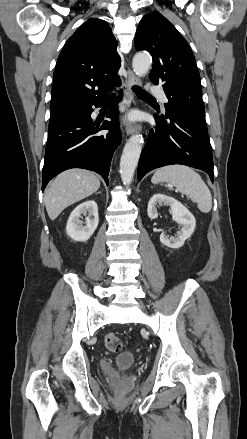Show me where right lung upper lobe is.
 <instances>
[{
	"label": "right lung upper lobe",
	"instance_id": "right-lung-upper-lobe-1",
	"mask_svg": "<svg viewBox=\"0 0 247 439\" xmlns=\"http://www.w3.org/2000/svg\"><path fill=\"white\" fill-rule=\"evenodd\" d=\"M108 23L89 19L67 40L56 64L51 112L73 109L106 97L118 85L121 59ZM96 88V90H95Z\"/></svg>",
	"mask_w": 247,
	"mask_h": 439
}]
</instances>
